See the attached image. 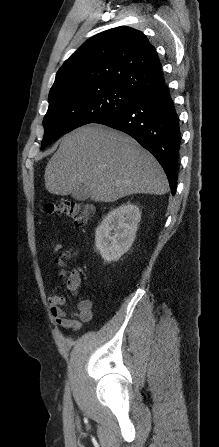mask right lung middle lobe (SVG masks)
Masks as SVG:
<instances>
[{
    "label": "right lung middle lobe",
    "instance_id": "obj_1",
    "mask_svg": "<svg viewBox=\"0 0 219 447\" xmlns=\"http://www.w3.org/2000/svg\"><path fill=\"white\" fill-rule=\"evenodd\" d=\"M137 99L112 85L73 87L49 94V108L43 120L45 134L41 149L62 134L110 115Z\"/></svg>",
    "mask_w": 219,
    "mask_h": 447
}]
</instances>
